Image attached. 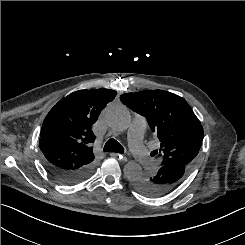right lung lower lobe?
<instances>
[{"mask_svg": "<svg viewBox=\"0 0 245 245\" xmlns=\"http://www.w3.org/2000/svg\"><path fill=\"white\" fill-rule=\"evenodd\" d=\"M48 172L64 184H76L87 179L94 170V164H90L78 170H64L44 163Z\"/></svg>", "mask_w": 245, "mask_h": 245, "instance_id": "obj_1", "label": "right lung lower lobe"}]
</instances>
